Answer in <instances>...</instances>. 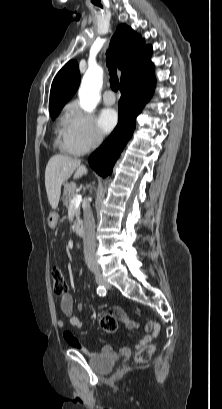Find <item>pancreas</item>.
<instances>
[{
	"mask_svg": "<svg viewBox=\"0 0 222 409\" xmlns=\"http://www.w3.org/2000/svg\"><path fill=\"white\" fill-rule=\"evenodd\" d=\"M76 195H77L76 187L74 185L64 184V191H63L62 200H63L66 207L71 206V201ZM75 215H76V218L79 220L80 219V207L75 209Z\"/></svg>",
	"mask_w": 222,
	"mask_h": 409,
	"instance_id": "pancreas-1",
	"label": "pancreas"
}]
</instances>
